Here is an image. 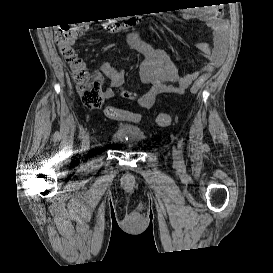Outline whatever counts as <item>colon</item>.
<instances>
[{
    "label": "colon",
    "instance_id": "1",
    "mask_svg": "<svg viewBox=\"0 0 273 273\" xmlns=\"http://www.w3.org/2000/svg\"><path fill=\"white\" fill-rule=\"evenodd\" d=\"M89 23V20H82L61 26L55 32V40L60 54L70 68L72 80L82 103L89 108H98L102 105L104 98L102 85L88 72L85 62L75 49L76 40L87 29ZM206 79V74L201 75L194 83L191 92L196 93L204 85ZM104 113L106 117L113 120H123L125 116L130 121L140 120L138 114L126 113L112 106L106 107ZM156 122L160 126H167L171 123V116L168 113H160Z\"/></svg>",
    "mask_w": 273,
    "mask_h": 273
}]
</instances>
